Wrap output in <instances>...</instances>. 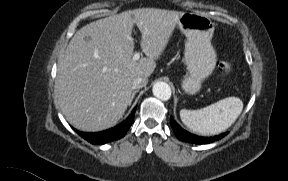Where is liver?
<instances>
[{"label":"liver","instance_id":"1","mask_svg":"<svg viewBox=\"0 0 288 181\" xmlns=\"http://www.w3.org/2000/svg\"><path fill=\"white\" fill-rule=\"evenodd\" d=\"M182 12L140 8L94 21L78 30L60 58L55 92L67 121L79 130L97 132L124 115L136 77L149 78ZM141 32L147 57L132 60V29Z\"/></svg>","mask_w":288,"mask_h":181}]
</instances>
